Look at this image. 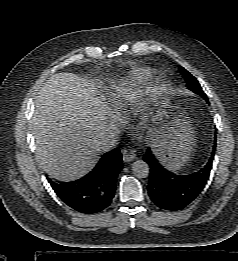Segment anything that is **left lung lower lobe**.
<instances>
[{
  "mask_svg": "<svg viewBox=\"0 0 238 261\" xmlns=\"http://www.w3.org/2000/svg\"><path fill=\"white\" fill-rule=\"evenodd\" d=\"M208 100V99H206ZM216 141L208 162L198 170L177 174L165 168L153 150L147 149L143 159L150 168L148 194L156 206L177 211L190 204L204 188L212 169Z\"/></svg>",
  "mask_w": 238,
  "mask_h": 261,
  "instance_id": "obj_1",
  "label": "left lung lower lobe"
}]
</instances>
